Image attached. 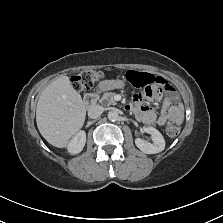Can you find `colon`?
<instances>
[{
	"instance_id": "colon-1",
	"label": "colon",
	"mask_w": 223,
	"mask_h": 223,
	"mask_svg": "<svg viewBox=\"0 0 223 223\" xmlns=\"http://www.w3.org/2000/svg\"><path fill=\"white\" fill-rule=\"evenodd\" d=\"M102 77L103 72L100 70H85L74 73L70 80L75 90L83 92L92 88ZM127 78L136 87H151L156 92L165 89V82L150 73L129 71ZM166 131L170 137H176L180 133V127L170 126Z\"/></svg>"
}]
</instances>
